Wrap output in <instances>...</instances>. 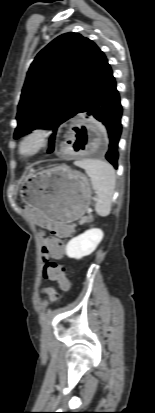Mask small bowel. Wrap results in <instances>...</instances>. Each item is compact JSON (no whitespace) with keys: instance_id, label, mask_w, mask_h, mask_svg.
<instances>
[{"instance_id":"c3829d8e","label":"small bowel","mask_w":155,"mask_h":413,"mask_svg":"<svg viewBox=\"0 0 155 413\" xmlns=\"http://www.w3.org/2000/svg\"><path fill=\"white\" fill-rule=\"evenodd\" d=\"M23 212L29 218H34L36 227L45 228V231H54L57 236L67 237L72 233V228L68 225H59V222H46L44 214H38L34 205H25ZM53 291L51 288H45L44 292L50 294Z\"/></svg>"}]
</instances>
